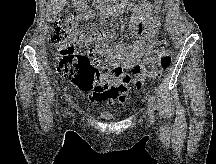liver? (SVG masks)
Returning <instances> with one entry per match:
<instances>
[{
  "label": "liver",
  "instance_id": "liver-1",
  "mask_svg": "<svg viewBox=\"0 0 216 164\" xmlns=\"http://www.w3.org/2000/svg\"><path fill=\"white\" fill-rule=\"evenodd\" d=\"M58 1L61 3V4H58ZM66 0H54L55 2V6H54V13H57L59 10L62 9V7L64 6V3H65Z\"/></svg>",
  "mask_w": 216,
  "mask_h": 164
}]
</instances>
